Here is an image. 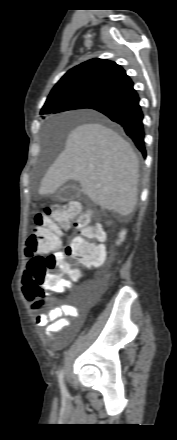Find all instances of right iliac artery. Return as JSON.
Segmentation results:
<instances>
[{"instance_id": "obj_1", "label": "right iliac artery", "mask_w": 177, "mask_h": 440, "mask_svg": "<svg viewBox=\"0 0 177 440\" xmlns=\"http://www.w3.org/2000/svg\"><path fill=\"white\" fill-rule=\"evenodd\" d=\"M59 385H60V389H61V393L62 395L66 396L67 395V389L64 383V371L61 370L59 373Z\"/></svg>"}]
</instances>
